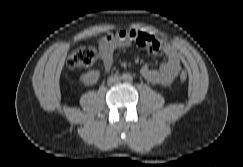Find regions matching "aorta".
<instances>
[{"label": "aorta", "mask_w": 243, "mask_h": 167, "mask_svg": "<svg viewBox=\"0 0 243 167\" xmlns=\"http://www.w3.org/2000/svg\"><path fill=\"white\" fill-rule=\"evenodd\" d=\"M123 79H125V80H130V79H131V76H130V75H124V76H123Z\"/></svg>", "instance_id": "obj_1"}]
</instances>
